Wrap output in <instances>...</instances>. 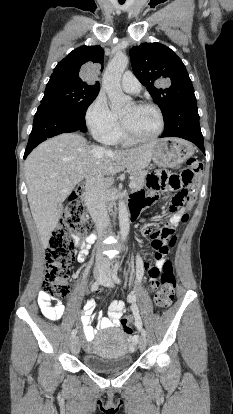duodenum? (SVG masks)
<instances>
[{
	"label": "duodenum",
	"instance_id": "duodenum-1",
	"mask_svg": "<svg viewBox=\"0 0 233 414\" xmlns=\"http://www.w3.org/2000/svg\"><path fill=\"white\" fill-rule=\"evenodd\" d=\"M129 215L132 219L136 218L137 212H135L132 208L130 209Z\"/></svg>",
	"mask_w": 233,
	"mask_h": 414
}]
</instances>
